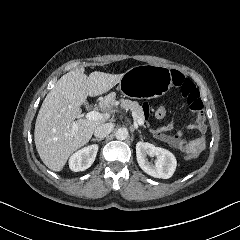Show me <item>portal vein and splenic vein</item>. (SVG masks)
<instances>
[{
    "label": "portal vein and splenic vein",
    "instance_id": "obj_1",
    "mask_svg": "<svg viewBox=\"0 0 240 240\" xmlns=\"http://www.w3.org/2000/svg\"><path fill=\"white\" fill-rule=\"evenodd\" d=\"M133 116V121L137 123L138 126H141L144 124V120L138 118L134 113L132 114ZM87 119L92 120V121H98V120H103L106 117V114L100 113L98 111H91L86 115Z\"/></svg>",
    "mask_w": 240,
    "mask_h": 240
}]
</instances>
